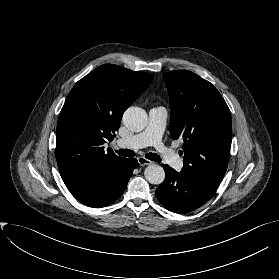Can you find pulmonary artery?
I'll return each instance as SVG.
<instances>
[{"mask_svg":"<svg viewBox=\"0 0 279 279\" xmlns=\"http://www.w3.org/2000/svg\"><path fill=\"white\" fill-rule=\"evenodd\" d=\"M167 116L168 113L163 107L150 109L146 128L129 138L119 139L117 141L118 145L131 149L153 146L166 163L176 170H181L183 167L182 159L162 143V135L166 126Z\"/></svg>","mask_w":279,"mask_h":279,"instance_id":"pulmonary-artery-1","label":"pulmonary artery"}]
</instances>
